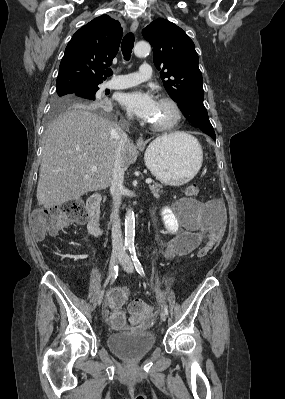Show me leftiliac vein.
I'll use <instances>...</instances> for the list:
<instances>
[{
  "label": "left iliac vein",
  "mask_w": 285,
  "mask_h": 399,
  "mask_svg": "<svg viewBox=\"0 0 285 399\" xmlns=\"http://www.w3.org/2000/svg\"><path fill=\"white\" fill-rule=\"evenodd\" d=\"M121 264L127 273H129V274L134 273L133 264H132L129 256L126 253L123 254V260L121 261ZM160 318H161V321H163V322L166 321L167 315L165 314V312H161Z\"/></svg>",
  "instance_id": "left-iliac-vein-1"
}]
</instances>
